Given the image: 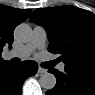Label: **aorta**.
<instances>
[{
	"mask_svg": "<svg viewBox=\"0 0 95 95\" xmlns=\"http://www.w3.org/2000/svg\"><path fill=\"white\" fill-rule=\"evenodd\" d=\"M32 35H33L32 28L26 23L19 24L14 30L15 38L21 42L30 41ZM39 83L42 88L46 90H51L56 85V77L51 73H44L41 75Z\"/></svg>",
	"mask_w": 95,
	"mask_h": 95,
	"instance_id": "obj_1",
	"label": "aorta"
}]
</instances>
